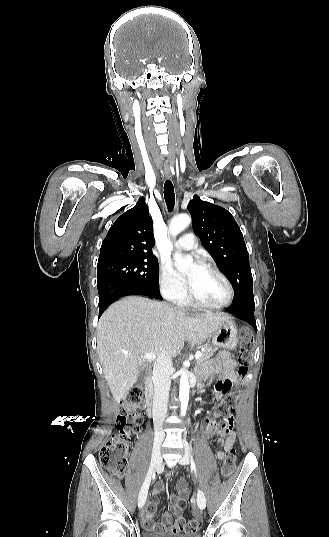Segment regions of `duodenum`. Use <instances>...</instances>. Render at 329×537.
I'll use <instances>...</instances> for the list:
<instances>
[{
  "instance_id": "410a0bca",
  "label": "duodenum",
  "mask_w": 329,
  "mask_h": 537,
  "mask_svg": "<svg viewBox=\"0 0 329 537\" xmlns=\"http://www.w3.org/2000/svg\"><path fill=\"white\" fill-rule=\"evenodd\" d=\"M145 388V408L148 417L152 415V381L151 377H146L144 380Z\"/></svg>"
}]
</instances>
